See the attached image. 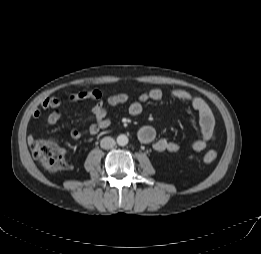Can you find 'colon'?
Segmentation results:
<instances>
[{"mask_svg": "<svg viewBox=\"0 0 261 254\" xmlns=\"http://www.w3.org/2000/svg\"><path fill=\"white\" fill-rule=\"evenodd\" d=\"M31 151L37 162L48 171L57 172L67 167L64 149L59 145L57 138L33 141ZM216 158L217 151L210 149L205 153L203 161L210 164Z\"/></svg>", "mask_w": 261, "mask_h": 254, "instance_id": "obj_1", "label": "colon"}]
</instances>
